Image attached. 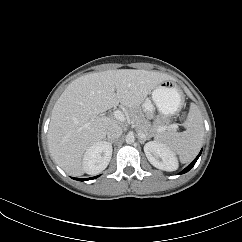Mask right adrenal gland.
Here are the masks:
<instances>
[{
  "label": "right adrenal gland",
  "instance_id": "1",
  "mask_svg": "<svg viewBox=\"0 0 242 242\" xmlns=\"http://www.w3.org/2000/svg\"><path fill=\"white\" fill-rule=\"evenodd\" d=\"M107 140H109L111 142V144L115 142L114 140H110V139H107Z\"/></svg>",
  "mask_w": 242,
  "mask_h": 242
}]
</instances>
